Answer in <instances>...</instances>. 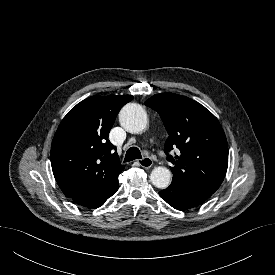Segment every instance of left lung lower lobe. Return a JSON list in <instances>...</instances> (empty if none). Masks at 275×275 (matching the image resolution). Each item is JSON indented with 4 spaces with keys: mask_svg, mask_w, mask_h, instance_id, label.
<instances>
[{
    "mask_svg": "<svg viewBox=\"0 0 275 275\" xmlns=\"http://www.w3.org/2000/svg\"><path fill=\"white\" fill-rule=\"evenodd\" d=\"M214 192L197 184L172 182L160 191V196L173 208L185 210L196 207L206 201Z\"/></svg>",
    "mask_w": 275,
    "mask_h": 275,
    "instance_id": "left-lung-lower-lobe-1",
    "label": "left lung lower lobe"
}]
</instances>
